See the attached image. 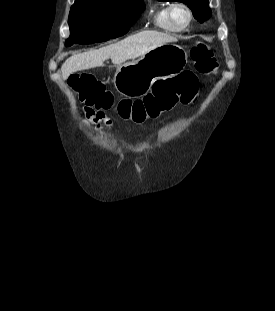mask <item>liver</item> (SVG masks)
<instances>
[{
	"mask_svg": "<svg viewBox=\"0 0 275 311\" xmlns=\"http://www.w3.org/2000/svg\"><path fill=\"white\" fill-rule=\"evenodd\" d=\"M175 41V38L157 31H142L125 39L68 58L62 65V77L67 79L72 73L103 66V62L111 59L114 65H120L127 60L141 57L150 50L163 44Z\"/></svg>",
	"mask_w": 275,
	"mask_h": 311,
	"instance_id": "1",
	"label": "liver"
}]
</instances>
